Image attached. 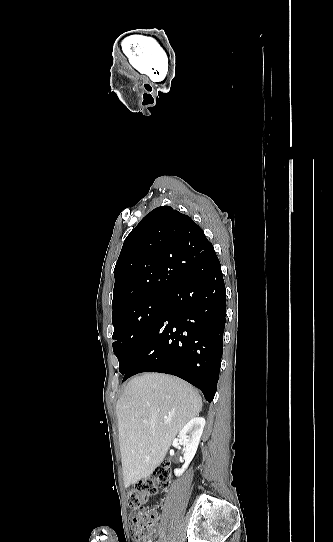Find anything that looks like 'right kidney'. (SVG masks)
Instances as JSON below:
<instances>
[{"instance_id":"right-kidney-1","label":"right kidney","mask_w":333,"mask_h":542,"mask_svg":"<svg viewBox=\"0 0 333 542\" xmlns=\"http://www.w3.org/2000/svg\"><path fill=\"white\" fill-rule=\"evenodd\" d=\"M205 424L206 422L204 418H192V420H190V422L184 426L183 430H181L178 436V442L184 446L183 456L185 464L182 466V468H177V470H174L175 476H182L185 470H187L190 462H192L197 452Z\"/></svg>"}]
</instances>
